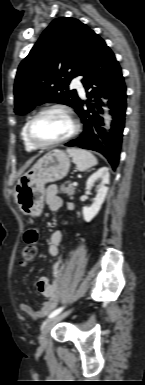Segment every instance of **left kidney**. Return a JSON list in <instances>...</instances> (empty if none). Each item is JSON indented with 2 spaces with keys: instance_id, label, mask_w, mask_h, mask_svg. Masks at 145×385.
Listing matches in <instances>:
<instances>
[{
  "instance_id": "5707ae66",
  "label": "left kidney",
  "mask_w": 145,
  "mask_h": 385,
  "mask_svg": "<svg viewBox=\"0 0 145 385\" xmlns=\"http://www.w3.org/2000/svg\"><path fill=\"white\" fill-rule=\"evenodd\" d=\"M99 179L102 180V184L98 188L93 204L90 207H83L82 210L83 218L86 222H90L98 214L106 198L108 192L107 185L109 184V169L107 167L100 168L89 177L86 189H91L93 184Z\"/></svg>"
}]
</instances>
